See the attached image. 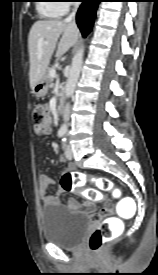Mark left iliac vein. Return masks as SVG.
I'll list each match as a JSON object with an SVG mask.
<instances>
[{"label": "left iliac vein", "mask_w": 158, "mask_h": 275, "mask_svg": "<svg viewBox=\"0 0 158 275\" xmlns=\"http://www.w3.org/2000/svg\"><path fill=\"white\" fill-rule=\"evenodd\" d=\"M65 157L68 160H71L73 158V152H72V148L70 145H67L66 149H65Z\"/></svg>", "instance_id": "obj_1"}]
</instances>
